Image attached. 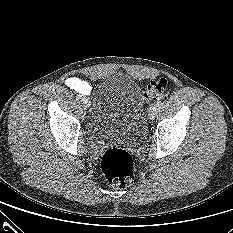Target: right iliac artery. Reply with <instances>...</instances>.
I'll list each match as a JSON object with an SVG mask.
<instances>
[{
	"label": "right iliac artery",
	"mask_w": 233,
	"mask_h": 233,
	"mask_svg": "<svg viewBox=\"0 0 233 233\" xmlns=\"http://www.w3.org/2000/svg\"><path fill=\"white\" fill-rule=\"evenodd\" d=\"M81 99H82V96H81V95H77V96H76V100L79 101V100H81Z\"/></svg>",
	"instance_id": "82829eb1"
}]
</instances>
